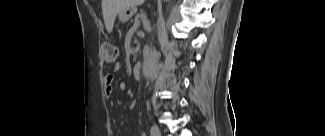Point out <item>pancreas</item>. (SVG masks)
Here are the masks:
<instances>
[{"mask_svg":"<svg viewBox=\"0 0 325 136\" xmlns=\"http://www.w3.org/2000/svg\"><path fill=\"white\" fill-rule=\"evenodd\" d=\"M134 22H135V21H134V19H132V18L128 20V23L131 24V25L134 24Z\"/></svg>","mask_w":325,"mask_h":136,"instance_id":"1","label":"pancreas"}]
</instances>
